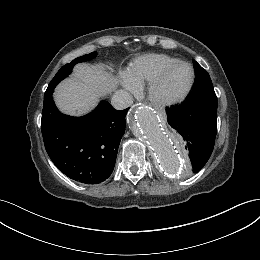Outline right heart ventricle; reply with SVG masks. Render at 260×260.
<instances>
[{
    "label": "right heart ventricle",
    "instance_id": "right-heart-ventricle-1",
    "mask_svg": "<svg viewBox=\"0 0 260 260\" xmlns=\"http://www.w3.org/2000/svg\"><path fill=\"white\" fill-rule=\"evenodd\" d=\"M180 61L166 54H146L132 61L126 70V77L136 85L150 82L161 70Z\"/></svg>",
    "mask_w": 260,
    "mask_h": 260
}]
</instances>
